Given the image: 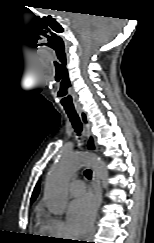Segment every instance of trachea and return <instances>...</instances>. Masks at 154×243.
Returning <instances> with one entry per match:
<instances>
[{"label": "trachea", "instance_id": "1", "mask_svg": "<svg viewBox=\"0 0 154 243\" xmlns=\"http://www.w3.org/2000/svg\"><path fill=\"white\" fill-rule=\"evenodd\" d=\"M65 112L67 113V115L72 123V126L75 129V132L80 136V134L82 132V124H81L78 114L76 113V110L74 108H72V109L65 108ZM84 175L86 176L87 179H91V176H92L91 170H89V169L85 170Z\"/></svg>", "mask_w": 154, "mask_h": 243}]
</instances>
